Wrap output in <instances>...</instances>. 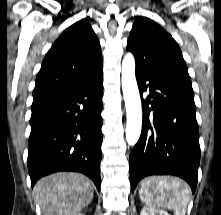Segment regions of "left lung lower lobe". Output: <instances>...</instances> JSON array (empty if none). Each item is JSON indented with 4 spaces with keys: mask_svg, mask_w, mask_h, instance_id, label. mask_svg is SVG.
I'll use <instances>...</instances> for the list:
<instances>
[{
    "mask_svg": "<svg viewBox=\"0 0 221 215\" xmlns=\"http://www.w3.org/2000/svg\"><path fill=\"white\" fill-rule=\"evenodd\" d=\"M136 79L142 98L143 127L130 158V181L149 175H175L195 192L200 163L198 123L192 84L161 71L138 69Z\"/></svg>",
    "mask_w": 221,
    "mask_h": 215,
    "instance_id": "obj_1",
    "label": "left lung lower lobe"
}]
</instances>
